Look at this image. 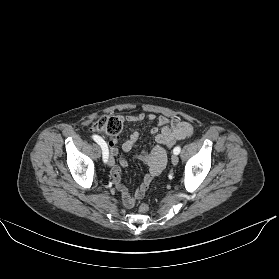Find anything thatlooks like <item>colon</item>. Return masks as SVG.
<instances>
[{
  "mask_svg": "<svg viewBox=\"0 0 279 279\" xmlns=\"http://www.w3.org/2000/svg\"><path fill=\"white\" fill-rule=\"evenodd\" d=\"M92 129L109 137H117L122 130V122L115 116H103L94 122ZM178 141L176 138H170L166 145L172 148ZM139 210L142 213H146L148 211V205L141 204Z\"/></svg>",
  "mask_w": 279,
  "mask_h": 279,
  "instance_id": "colon-1",
  "label": "colon"
}]
</instances>
